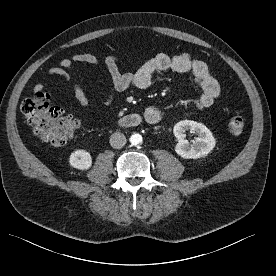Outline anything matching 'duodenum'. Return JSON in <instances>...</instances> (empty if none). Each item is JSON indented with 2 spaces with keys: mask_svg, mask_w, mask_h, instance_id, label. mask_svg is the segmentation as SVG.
Wrapping results in <instances>:
<instances>
[{
  "mask_svg": "<svg viewBox=\"0 0 276 276\" xmlns=\"http://www.w3.org/2000/svg\"><path fill=\"white\" fill-rule=\"evenodd\" d=\"M141 116L135 113L125 115L119 119V125L123 127H136L141 123Z\"/></svg>",
  "mask_w": 276,
  "mask_h": 276,
  "instance_id": "1",
  "label": "duodenum"
}]
</instances>
